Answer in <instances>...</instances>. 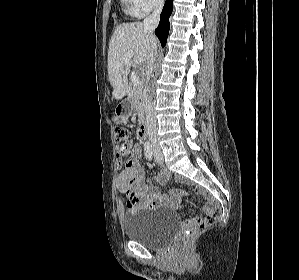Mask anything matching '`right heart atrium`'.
Wrapping results in <instances>:
<instances>
[{"instance_id": "d8ad5b80", "label": "right heart atrium", "mask_w": 299, "mask_h": 280, "mask_svg": "<svg viewBox=\"0 0 299 280\" xmlns=\"http://www.w3.org/2000/svg\"><path fill=\"white\" fill-rule=\"evenodd\" d=\"M135 8L141 15L147 14L159 8L164 0H132Z\"/></svg>"}]
</instances>
